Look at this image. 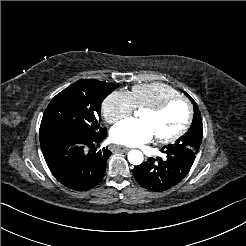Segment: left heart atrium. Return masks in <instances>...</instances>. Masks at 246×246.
I'll return each mask as SVG.
<instances>
[{
    "mask_svg": "<svg viewBox=\"0 0 246 246\" xmlns=\"http://www.w3.org/2000/svg\"><path fill=\"white\" fill-rule=\"evenodd\" d=\"M154 136L149 125L137 119L124 120L115 125L111 131V140L114 143L128 146L148 143Z\"/></svg>",
    "mask_w": 246,
    "mask_h": 246,
    "instance_id": "1",
    "label": "left heart atrium"
}]
</instances>
